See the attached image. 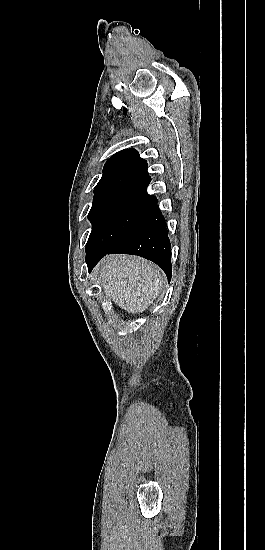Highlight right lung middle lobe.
<instances>
[{
    "label": "right lung middle lobe",
    "instance_id": "1",
    "mask_svg": "<svg viewBox=\"0 0 265 550\" xmlns=\"http://www.w3.org/2000/svg\"><path fill=\"white\" fill-rule=\"evenodd\" d=\"M156 201L146 188L115 190L94 197L88 218L92 232L86 255L103 252L119 241Z\"/></svg>",
    "mask_w": 265,
    "mask_h": 550
}]
</instances>
